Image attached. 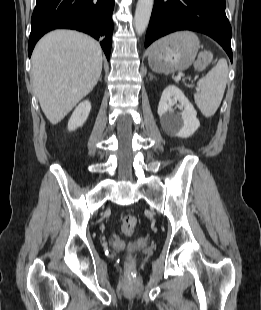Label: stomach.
Instances as JSON below:
<instances>
[{"label":"stomach","instance_id":"stomach-1","mask_svg":"<svg viewBox=\"0 0 261 310\" xmlns=\"http://www.w3.org/2000/svg\"><path fill=\"white\" fill-rule=\"evenodd\" d=\"M198 49L199 40L194 33H173L149 48V66L156 73L184 71L194 62Z\"/></svg>","mask_w":261,"mask_h":310}]
</instances>
